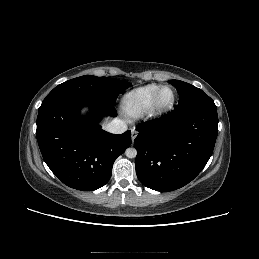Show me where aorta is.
Wrapping results in <instances>:
<instances>
[{
    "label": "aorta",
    "instance_id": "obj_1",
    "mask_svg": "<svg viewBox=\"0 0 259 259\" xmlns=\"http://www.w3.org/2000/svg\"><path fill=\"white\" fill-rule=\"evenodd\" d=\"M125 154L128 158H135L137 155V150L135 148H128L125 151Z\"/></svg>",
    "mask_w": 259,
    "mask_h": 259
}]
</instances>
